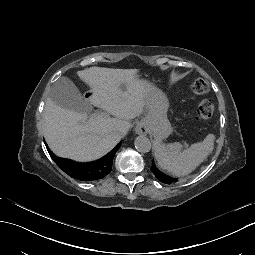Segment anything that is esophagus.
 <instances>
[{
  "instance_id": "34e87169",
  "label": "esophagus",
  "mask_w": 255,
  "mask_h": 255,
  "mask_svg": "<svg viewBox=\"0 0 255 255\" xmlns=\"http://www.w3.org/2000/svg\"><path fill=\"white\" fill-rule=\"evenodd\" d=\"M135 132L138 135H147L149 132V127L145 122H140L136 125Z\"/></svg>"
}]
</instances>
